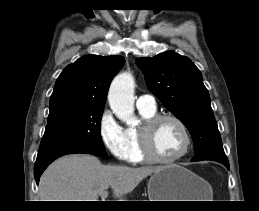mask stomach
<instances>
[{"instance_id": "stomach-1", "label": "stomach", "mask_w": 259, "mask_h": 211, "mask_svg": "<svg viewBox=\"0 0 259 211\" xmlns=\"http://www.w3.org/2000/svg\"><path fill=\"white\" fill-rule=\"evenodd\" d=\"M148 195L149 201H207L211 188L190 170L170 164L151 175Z\"/></svg>"}]
</instances>
